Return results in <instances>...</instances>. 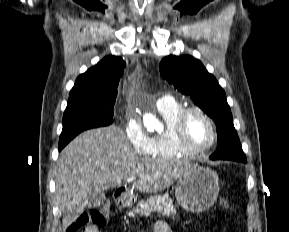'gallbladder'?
<instances>
[{
    "instance_id": "obj_1",
    "label": "gallbladder",
    "mask_w": 289,
    "mask_h": 232,
    "mask_svg": "<svg viewBox=\"0 0 289 232\" xmlns=\"http://www.w3.org/2000/svg\"><path fill=\"white\" fill-rule=\"evenodd\" d=\"M105 201V193L93 191L91 194L88 195V204L89 208H98L103 205Z\"/></svg>"
}]
</instances>
